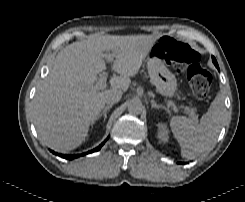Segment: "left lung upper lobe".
I'll return each instance as SVG.
<instances>
[{
	"label": "left lung upper lobe",
	"instance_id": "left-lung-upper-lobe-1",
	"mask_svg": "<svg viewBox=\"0 0 245 202\" xmlns=\"http://www.w3.org/2000/svg\"><path fill=\"white\" fill-rule=\"evenodd\" d=\"M212 61H213L214 65L219 69L217 61H216V59L214 57H212Z\"/></svg>",
	"mask_w": 245,
	"mask_h": 202
}]
</instances>
